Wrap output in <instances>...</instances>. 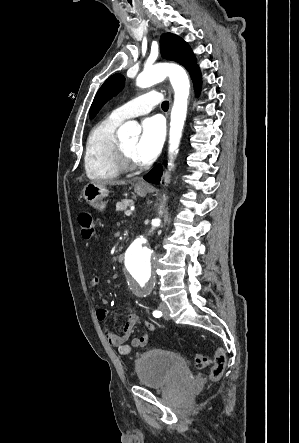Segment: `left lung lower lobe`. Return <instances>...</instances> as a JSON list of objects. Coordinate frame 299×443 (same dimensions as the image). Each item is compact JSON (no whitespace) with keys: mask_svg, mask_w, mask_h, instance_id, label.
Segmentation results:
<instances>
[{"mask_svg":"<svg viewBox=\"0 0 299 443\" xmlns=\"http://www.w3.org/2000/svg\"><path fill=\"white\" fill-rule=\"evenodd\" d=\"M191 77H192V80L194 83V87H195L196 91L198 92L200 89V80H201L199 69H197ZM162 172H163L162 166L157 165L143 178L148 182L157 184L160 181Z\"/></svg>","mask_w":299,"mask_h":443,"instance_id":"obj_1","label":"left lung lower lobe"}]
</instances>
